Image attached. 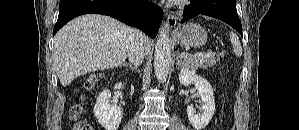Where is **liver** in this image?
Instances as JSON below:
<instances>
[{
  "label": "liver",
  "mask_w": 299,
  "mask_h": 130,
  "mask_svg": "<svg viewBox=\"0 0 299 130\" xmlns=\"http://www.w3.org/2000/svg\"><path fill=\"white\" fill-rule=\"evenodd\" d=\"M131 28L109 16L87 14L70 21L54 38L53 64L62 86L98 70L123 65ZM146 53L151 41L145 36Z\"/></svg>",
  "instance_id": "6515ba94"
}]
</instances>
